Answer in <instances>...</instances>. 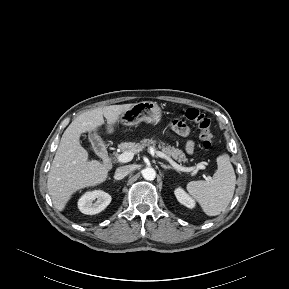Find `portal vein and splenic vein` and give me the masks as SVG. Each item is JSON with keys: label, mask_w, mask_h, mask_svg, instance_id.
Segmentation results:
<instances>
[{"label": "portal vein and splenic vein", "mask_w": 289, "mask_h": 289, "mask_svg": "<svg viewBox=\"0 0 289 289\" xmlns=\"http://www.w3.org/2000/svg\"><path fill=\"white\" fill-rule=\"evenodd\" d=\"M142 151V149H138V152ZM149 153L152 156H158L160 158H163L165 160H167L175 169L182 171V172H191V171H195L198 169H205L206 167L204 166V163H199L197 164L195 167H183L179 164H177L175 161H173L169 156H167L165 153L160 152V151H156L154 149H149ZM134 153L131 151H126L120 155H118L117 160L121 163H127L129 161H131L133 159ZM203 177L205 179H210L209 176L203 175Z\"/></svg>", "instance_id": "18ae733b"}]
</instances>
